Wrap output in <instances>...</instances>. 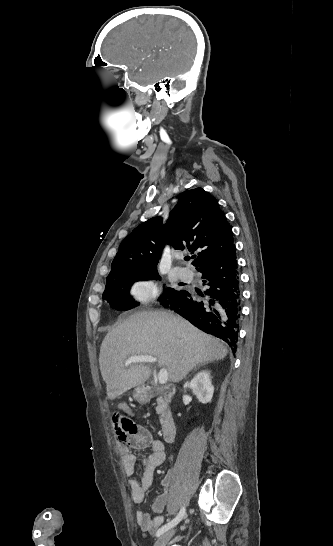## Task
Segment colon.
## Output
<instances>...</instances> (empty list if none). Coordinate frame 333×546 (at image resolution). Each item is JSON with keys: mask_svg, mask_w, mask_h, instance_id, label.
Instances as JSON below:
<instances>
[{"mask_svg": "<svg viewBox=\"0 0 333 546\" xmlns=\"http://www.w3.org/2000/svg\"><path fill=\"white\" fill-rule=\"evenodd\" d=\"M112 422L119 441L121 443H127L130 435L135 429V424L125 417L120 411H115L113 413Z\"/></svg>", "mask_w": 333, "mask_h": 546, "instance_id": "1", "label": "colon"}]
</instances>
